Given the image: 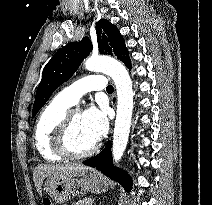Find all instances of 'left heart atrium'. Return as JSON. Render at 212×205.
I'll return each instance as SVG.
<instances>
[{
    "label": "left heart atrium",
    "instance_id": "39dd6f15",
    "mask_svg": "<svg viewBox=\"0 0 212 205\" xmlns=\"http://www.w3.org/2000/svg\"><path fill=\"white\" fill-rule=\"evenodd\" d=\"M82 123L92 139L95 142L99 141L108 131L109 123L106 110L102 107H89L82 114Z\"/></svg>",
    "mask_w": 212,
    "mask_h": 205
}]
</instances>
